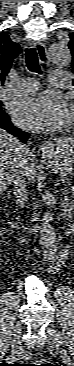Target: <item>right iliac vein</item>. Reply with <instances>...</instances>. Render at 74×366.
Instances as JSON below:
<instances>
[{
  "mask_svg": "<svg viewBox=\"0 0 74 366\" xmlns=\"http://www.w3.org/2000/svg\"><path fill=\"white\" fill-rule=\"evenodd\" d=\"M21 335V323L17 322L14 326L13 330V344H12V355H15L17 353V349L19 347V339Z\"/></svg>",
  "mask_w": 74,
  "mask_h": 366,
  "instance_id": "obj_1",
  "label": "right iliac vein"
}]
</instances>
